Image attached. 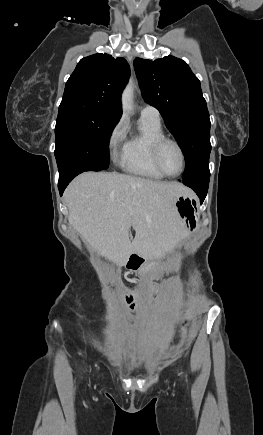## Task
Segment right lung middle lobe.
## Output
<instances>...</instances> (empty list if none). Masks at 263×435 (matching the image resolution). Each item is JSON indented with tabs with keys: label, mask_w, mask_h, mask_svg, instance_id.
Wrapping results in <instances>:
<instances>
[{
	"label": "right lung middle lobe",
	"mask_w": 263,
	"mask_h": 435,
	"mask_svg": "<svg viewBox=\"0 0 263 435\" xmlns=\"http://www.w3.org/2000/svg\"><path fill=\"white\" fill-rule=\"evenodd\" d=\"M117 122V119L92 108H59L54 152L59 173L74 165L107 169L108 143Z\"/></svg>",
	"instance_id": "right-lung-middle-lobe-1"
}]
</instances>
